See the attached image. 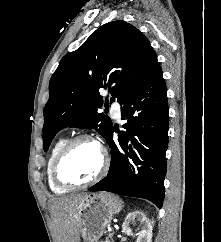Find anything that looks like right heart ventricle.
I'll return each mask as SVG.
<instances>
[{
  "mask_svg": "<svg viewBox=\"0 0 221 242\" xmlns=\"http://www.w3.org/2000/svg\"><path fill=\"white\" fill-rule=\"evenodd\" d=\"M66 141L67 140L65 137H60L54 142V144L52 145V147L50 149L48 159H47V165H46V175H47L48 186L52 192L58 193V194L65 193L68 189L59 186L54 181L53 176H52V166H53V163L55 161L57 154L59 153V151L61 150L63 145L66 143Z\"/></svg>",
  "mask_w": 221,
  "mask_h": 242,
  "instance_id": "1",
  "label": "right heart ventricle"
}]
</instances>
